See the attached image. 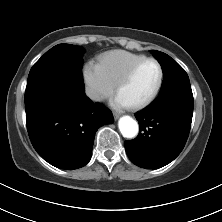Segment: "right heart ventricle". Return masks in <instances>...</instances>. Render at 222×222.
<instances>
[{"label": "right heart ventricle", "instance_id": "1", "mask_svg": "<svg viewBox=\"0 0 222 222\" xmlns=\"http://www.w3.org/2000/svg\"><path fill=\"white\" fill-rule=\"evenodd\" d=\"M145 58L146 56L141 54H135L124 50H115L103 55L98 65L103 75L113 85H116L134 64Z\"/></svg>", "mask_w": 222, "mask_h": 222}]
</instances>
